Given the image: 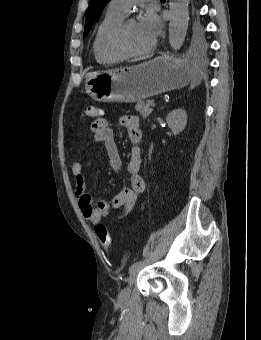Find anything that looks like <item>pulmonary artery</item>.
Wrapping results in <instances>:
<instances>
[{
  "mask_svg": "<svg viewBox=\"0 0 261 340\" xmlns=\"http://www.w3.org/2000/svg\"><path fill=\"white\" fill-rule=\"evenodd\" d=\"M141 1L143 0H112L109 4V7L112 10L127 16L130 12V9Z\"/></svg>",
  "mask_w": 261,
  "mask_h": 340,
  "instance_id": "pulmonary-artery-1",
  "label": "pulmonary artery"
}]
</instances>
